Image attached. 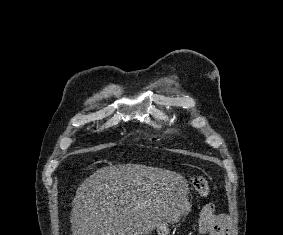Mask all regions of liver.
I'll use <instances>...</instances> for the list:
<instances>
[{
  "instance_id": "liver-1",
  "label": "liver",
  "mask_w": 283,
  "mask_h": 235,
  "mask_svg": "<svg viewBox=\"0 0 283 235\" xmlns=\"http://www.w3.org/2000/svg\"><path fill=\"white\" fill-rule=\"evenodd\" d=\"M187 182L172 171L141 164L100 168L78 187L70 217L73 235H147L175 216Z\"/></svg>"
}]
</instances>
